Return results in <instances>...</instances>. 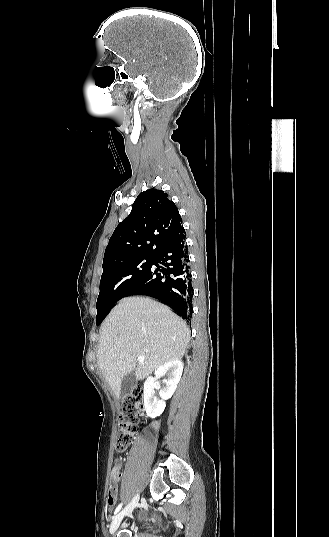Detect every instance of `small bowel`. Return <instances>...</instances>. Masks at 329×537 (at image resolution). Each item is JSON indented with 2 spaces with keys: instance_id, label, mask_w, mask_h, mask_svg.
Listing matches in <instances>:
<instances>
[{
  "instance_id": "small-bowel-1",
  "label": "small bowel",
  "mask_w": 329,
  "mask_h": 537,
  "mask_svg": "<svg viewBox=\"0 0 329 537\" xmlns=\"http://www.w3.org/2000/svg\"><path fill=\"white\" fill-rule=\"evenodd\" d=\"M119 475V464L117 463L112 471V481L114 483L117 482ZM117 502V493L116 490L113 491L111 495L108 496L107 504L109 507V510H112Z\"/></svg>"
}]
</instances>
